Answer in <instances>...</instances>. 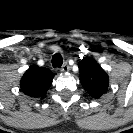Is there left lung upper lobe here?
<instances>
[{
  "label": "left lung upper lobe",
  "instance_id": "1",
  "mask_svg": "<svg viewBox=\"0 0 133 133\" xmlns=\"http://www.w3.org/2000/svg\"><path fill=\"white\" fill-rule=\"evenodd\" d=\"M80 82L93 97L100 98L108 90V74L93 58L86 57L79 63Z\"/></svg>",
  "mask_w": 133,
  "mask_h": 133
}]
</instances>
